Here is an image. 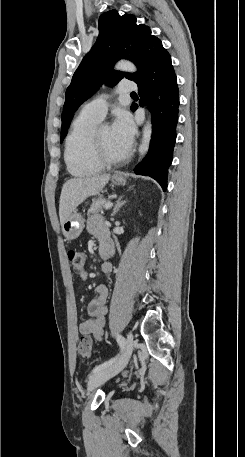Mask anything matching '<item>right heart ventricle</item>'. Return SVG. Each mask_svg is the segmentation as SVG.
I'll list each match as a JSON object with an SVG mask.
<instances>
[{
    "label": "right heart ventricle",
    "instance_id": "1",
    "mask_svg": "<svg viewBox=\"0 0 245 457\" xmlns=\"http://www.w3.org/2000/svg\"><path fill=\"white\" fill-rule=\"evenodd\" d=\"M99 120L79 115L72 123L65 143V160L69 171L74 176H82L97 171L99 168L90 164L84 157L85 138Z\"/></svg>",
    "mask_w": 245,
    "mask_h": 457
}]
</instances>
